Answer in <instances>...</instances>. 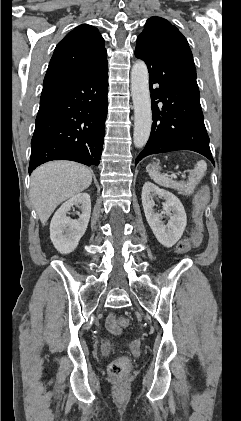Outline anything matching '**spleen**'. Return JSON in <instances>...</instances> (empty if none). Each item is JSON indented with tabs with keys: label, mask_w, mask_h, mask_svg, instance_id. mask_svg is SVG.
I'll return each mask as SVG.
<instances>
[{
	"label": "spleen",
	"mask_w": 241,
	"mask_h": 421,
	"mask_svg": "<svg viewBox=\"0 0 241 421\" xmlns=\"http://www.w3.org/2000/svg\"><path fill=\"white\" fill-rule=\"evenodd\" d=\"M206 170H207L206 162L203 160H200L196 163L194 169L188 171L189 179L187 182H176V181H173L171 178H169L167 175L160 174L157 171L149 169V166H147V171L150 177L154 180V182H156L160 186L175 189L179 193H182L187 196L191 195L194 192L196 186L199 184L200 180L203 178Z\"/></svg>",
	"instance_id": "3e777b00"
}]
</instances>
